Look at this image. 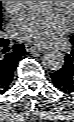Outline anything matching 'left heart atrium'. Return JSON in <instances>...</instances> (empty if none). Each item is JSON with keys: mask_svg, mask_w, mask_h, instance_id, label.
Here are the masks:
<instances>
[{"mask_svg": "<svg viewBox=\"0 0 74 122\" xmlns=\"http://www.w3.org/2000/svg\"><path fill=\"white\" fill-rule=\"evenodd\" d=\"M69 25V18L56 7L24 12L13 21L12 29L21 41L45 45L67 31Z\"/></svg>", "mask_w": 74, "mask_h": 122, "instance_id": "39dd6f15", "label": "left heart atrium"}]
</instances>
